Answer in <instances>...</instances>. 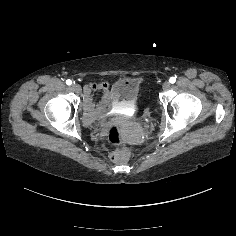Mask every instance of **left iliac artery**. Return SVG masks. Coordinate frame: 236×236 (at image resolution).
Segmentation results:
<instances>
[{
	"mask_svg": "<svg viewBox=\"0 0 236 236\" xmlns=\"http://www.w3.org/2000/svg\"><path fill=\"white\" fill-rule=\"evenodd\" d=\"M169 82L172 83V84L175 83V82H176V78H175V77H171V78L169 79Z\"/></svg>",
	"mask_w": 236,
	"mask_h": 236,
	"instance_id": "left-iliac-artery-1",
	"label": "left iliac artery"
}]
</instances>
